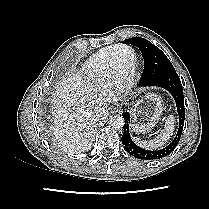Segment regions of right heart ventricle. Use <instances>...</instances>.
<instances>
[{"instance_id": "1", "label": "right heart ventricle", "mask_w": 209, "mask_h": 209, "mask_svg": "<svg viewBox=\"0 0 209 209\" xmlns=\"http://www.w3.org/2000/svg\"><path fill=\"white\" fill-rule=\"evenodd\" d=\"M120 45L105 47L93 54L83 67V76L86 83L93 89L105 87L108 79V69L113 53ZM136 62V55L133 57Z\"/></svg>"}]
</instances>
